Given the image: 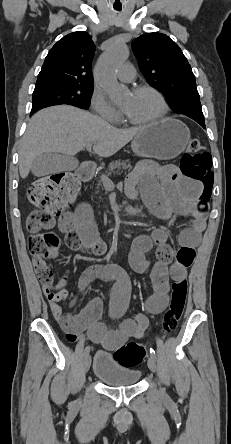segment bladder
<instances>
[{
  "label": "bladder",
  "instance_id": "obj_1",
  "mask_svg": "<svg viewBox=\"0 0 231 444\" xmlns=\"http://www.w3.org/2000/svg\"><path fill=\"white\" fill-rule=\"evenodd\" d=\"M92 374L106 385L122 387L135 385L142 373L134 367L124 365L112 353L99 351L94 357Z\"/></svg>",
  "mask_w": 231,
  "mask_h": 444
}]
</instances>
